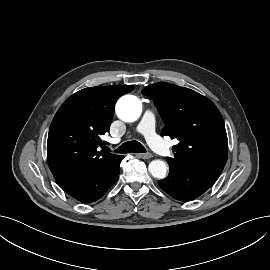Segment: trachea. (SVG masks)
<instances>
[{"instance_id": "trachea-1", "label": "trachea", "mask_w": 270, "mask_h": 270, "mask_svg": "<svg viewBox=\"0 0 270 270\" xmlns=\"http://www.w3.org/2000/svg\"><path fill=\"white\" fill-rule=\"evenodd\" d=\"M116 153H145L146 149L138 141L132 140L123 143L118 149L115 150Z\"/></svg>"}]
</instances>
